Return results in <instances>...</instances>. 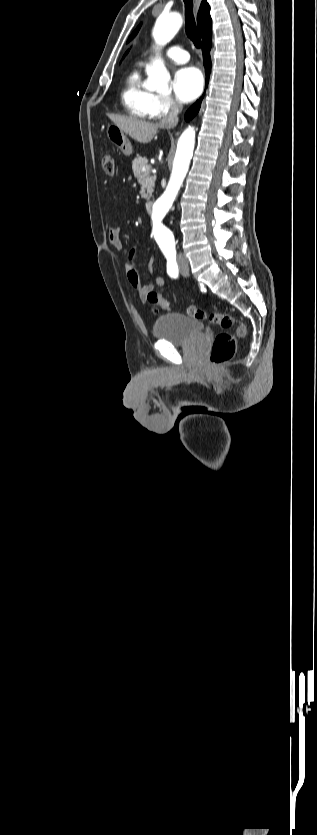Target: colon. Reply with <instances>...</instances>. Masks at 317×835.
<instances>
[{"instance_id":"obj_1","label":"colon","mask_w":317,"mask_h":835,"mask_svg":"<svg viewBox=\"0 0 317 835\" xmlns=\"http://www.w3.org/2000/svg\"><path fill=\"white\" fill-rule=\"evenodd\" d=\"M101 164L107 175L113 176L115 174L116 164L112 155L104 153L101 157ZM146 298L158 309L166 310L170 307L168 299L155 290L148 291ZM187 314L197 320H207L223 329L236 327V333L234 335L230 333H219L215 336L209 356L211 366H219L231 359L235 354L237 341L244 338L247 334L246 326L231 315L217 312L207 313L195 305L187 307Z\"/></svg>"}]
</instances>
